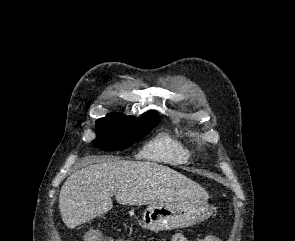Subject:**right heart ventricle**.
Segmentation results:
<instances>
[{
    "label": "right heart ventricle",
    "mask_w": 295,
    "mask_h": 241,
    "mask_svg": "<svg viewBox=\"0 0 295 241\" xmlns=\"http://www.w3.org/2000/svg\"><path fill=\"white\" fill-rule=\"evenodd\" d=\"M192 154V150L185 143L168 135L152 139L140 152L142 158L173 166L187 163Z\"/></svg>",
    "instance_id": "obj_1"
}]
</instances>
